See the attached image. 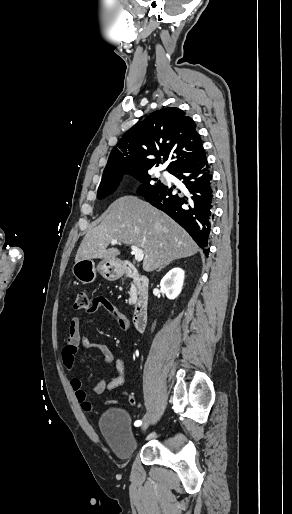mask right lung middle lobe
<instances>
[{
	"mask_svg": "<svg viewBox=\"0 0 292 514\" xmlns=\"http://www.w3.org/2000/svg\"><path fill=\"white\" fill-rule=\"evenodd\" d=\"M132 176L141 183L137 191V193L141 196H144L145 194L163 185L162 183H160V181L153 183L152 180L156 181V179L151 178L148 172ZM121 180L122 177L102 180L98 189L97 198L103 199L108 195L112 194L113 192H115Z\"/></svg>",
	"mask_w": 292,
	"mask_h": 514,
	"instance_id": "obj_1",
	"label": "right lung middle lobe"
}]
</instances>
